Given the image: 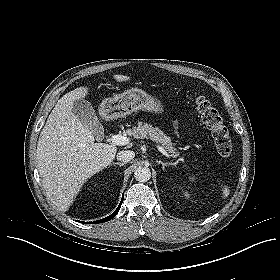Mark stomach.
Returning <instances> with one entry per match:
<instances>
[{
  "instance_id": "obj_1",
  "label": "stomach",
  "mask_w": 280,
  "mask_h": 280,
  "mask_svg": "<svg viewBox=\"0 0 280 280\" xmlns=\"http://www.w3.org/2000/svg\"><path fill=\"white\" fill-rule=\"evenodd\" d=\"M100 106L102 114L111 119L125 117L138 110L156 114L164 111L160 100L138 88H131L121 94L106 98Z\"/></svg>"
}]
</instances>
